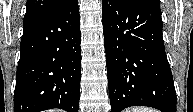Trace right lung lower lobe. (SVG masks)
<instances>
[{
	"label": "right lung lower lobe",
	"instance_id": "right-lung-lower-lobe-1",
	"mask_svg": "<svg viewBox=\"0 0 193 112\" xmlns=\"http://www.w3.org/2000/svg\"><path fill=\"white\" fill-rule=\"evenodd\" d=\"M78 0L23 22L14 112H78L81 80Z\"/></svg>",
	"mask_w": 193,
	"mask_h": 112
}]
</instances>
